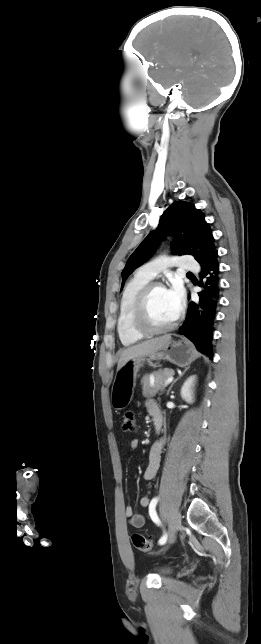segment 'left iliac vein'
<instances>
[{
  "instance_id": "obj_1",
  "label": "left iliac vein",
  "mask_w": 261,
  "mask_h": 644,
  "mask_svg": "<svg viewBox=\"0 0 261 644\" xmlns=\"http://www.w3.org/2000/svg\"><path fill=\"white\" fill-rule=\"evenodd\" d=\"M168 525H169L168 542L173 543L175 540L176 532L180 529V526H181V515L179 511L174 510L170 513L169 519H168Z\"/></svg>"
}]
</instances>
